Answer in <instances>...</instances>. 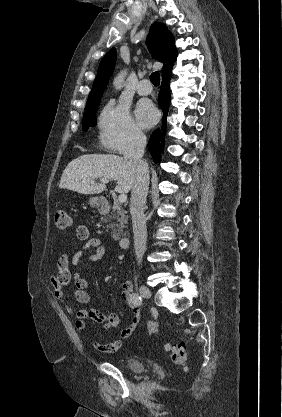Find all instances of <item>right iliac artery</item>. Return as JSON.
Here are the masks:
<instances>
[{
    "instance_id": "obj_1",
    "label": "right iliac artery",
    "mask_w": 282,
    "mask_h": 417,
    "mask_svg": "<svg viewBox=\"0 0 282 417\" xmlns=\"http://www.w3.org/2000/svg\"><path fill=\"white\" fill-rule=\"evenodd\" d=\"M131 301L136 306L142 305V298L138 293H133L131 295Z\"/></svg>"
}]
</instances>
